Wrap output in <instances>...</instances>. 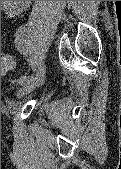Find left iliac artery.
<instances>
[{
    "label": "left iliac artery",
    "mask_w": 121,
    "mask_h": 169,
    "mask_svg": "<svg viewBox=\"0 0 121 169\" xmlns=\"http://www.w3.org/2000/svg\"><path fill=\"white\" fill-rule=\"evenodd\" d=\"M22 30H16V34L14 35L15 38V51H19V54H24V49H22L21 43L24 42L23 39V27L21 28ZM45 73V66H41L39 69V72L35 75H31V76H23L21 78H19L17 80V84L19 85H25L27 83H29L32 79L36 78L39 75H43Z\"/></svg>",
    "instance_id": "obj_1"
}]
</instances>
